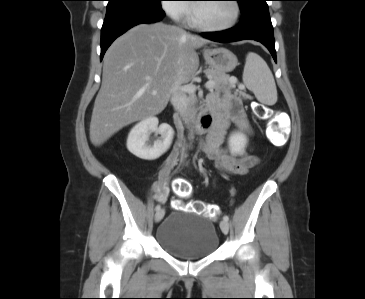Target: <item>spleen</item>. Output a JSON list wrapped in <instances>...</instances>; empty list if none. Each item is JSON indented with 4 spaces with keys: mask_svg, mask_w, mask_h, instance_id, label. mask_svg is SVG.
I'll return each mask as SVG.
<instances>
[{
    "mask_svg": "<svg viewBox=\"0 0 365 299\" xmlns=\"http://www.w3.org/2000/svg\"><path fill=\"white\" fill-rule=\"evenodd\" d=\"M243 83L255 94L259 102L266 105L276 103L277 89L272 72L264 59L254 52L247 54Z\"/></svg>",
    "mask_w": 365,
    "mask_h": 299,
    "instance_id": "1",
    "label": "spleen"
}]
</instances>
